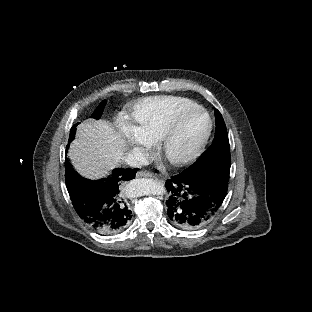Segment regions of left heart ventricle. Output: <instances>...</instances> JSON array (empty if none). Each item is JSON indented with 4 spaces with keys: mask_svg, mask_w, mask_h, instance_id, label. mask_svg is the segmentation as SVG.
<instances>
[{
    "mask_svg": "<svg viewBox=\"0 0 312 312\" xmlns=\"http://www.w3.org/2000/svg\"><path fill=\"white\" fill-rule=\"evenodd\" d=\"M194 128L195 123L193 121H188L185 128L180 130V135H175L172 138V143L168 145V150L170 152H175L177 150V145L179 144L182 149H187L189 145L193 143ZM183 137L185 138L183 139Z\"/></svg>",
    "mask_w": 312,
    "mask_h": 312,
    "instance_id": "left-heart-ventricle-1",
    "label": "left heart ventricle"
}]
</instances>
